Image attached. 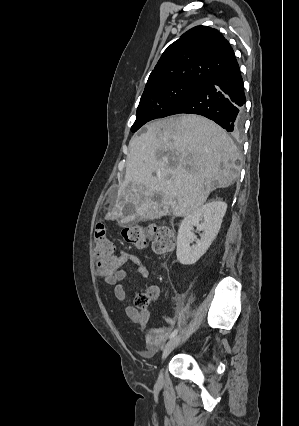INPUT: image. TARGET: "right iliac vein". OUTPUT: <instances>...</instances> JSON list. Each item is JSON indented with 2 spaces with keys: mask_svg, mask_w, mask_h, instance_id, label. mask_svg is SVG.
<instances>
[{
  "mask_svg": "<svg viewBox=\"0 0 299 426\" xmlns=\"http://www.w3.org/2000/svg\"><path fill=\"white\" fill-rule=\"evenodd\" d=\"M181 335L173 337L163 348L162 353V362L166 359V357L170 354V352L179 344L181 341ZM163 381V370L160 369L158 374L157 383L162 384Z\"/></svg>",
  "mask_w": 299,
  "mask_h": 426,
  "instance_id": "63e3f726",
  "label": "right iliac vein"
}]
</instances>
